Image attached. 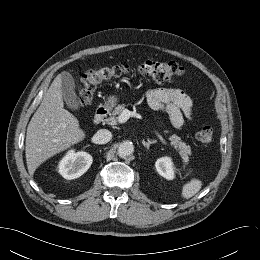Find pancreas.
<instances>
[{
    "label": "pancreas",
    "mask_w": 260,
    "mask_h": 260,
    "mask_svg": "<svg viewBox=\"0 0 260 260\" xmlns=\"http://www.w3.org/2000/svg\"><path fill=\"white\" fill-rule=\"evenodd\" d=\"M125 109L124 104H119L115 107V109L110 113L109 118L105 119V122L109 125H116L118 121V116L122 113V111ZM168 133L169 131H165ZM169 140L171 141V145L174 146V148L179 152V155L183 159L184 167L188 164L189 156L191 154L190 146L187 145L185 142L182 141V139L177 136L176 134H173L169 136Z\"/></svg>",
    "instance_id": "pancreas-1"
}]
</instances>
